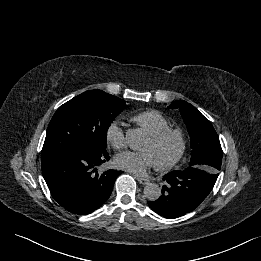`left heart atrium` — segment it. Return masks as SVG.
<instances>
[{"label":"left heart atrium","instance_id":"obj_1","mask_svg":"<svg viewBox=\"0 0 261 261\" xmlns=\"http://www.w3.org/2000/svg\"><path fill=\"white\" fill-rule=\"evenodd\" d=\"M115 164L120 169L136 175H142L158 163L154 154L150 151H125L115 157Z\"/></svg>","mask_w":261,"mask_h":261}]
</instances>
